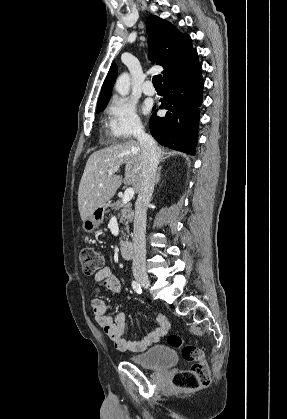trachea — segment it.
Returning a JSON list of instances; mask_svg holds the SVG:
<instances>
[{
    "label": "trachea",
    "mask_w": 287,
    "mask_h": 419,
    "mask_svg": "<svg viewBox=\"0 0 287 419\" xmlns=\"http://www.w3.org/2000/svg\"><path fill=\"white\" fill-rule=\"evenodd\" d=\"M162 76L161 75H156L153 77V85L155 88H162Z\"/></svg>",
    "instance_id": "1"
}]
</instances>
